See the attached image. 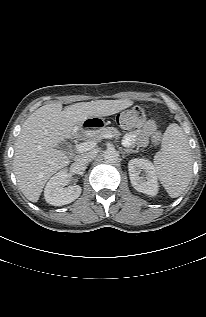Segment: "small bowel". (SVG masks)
Here are the masks:
<instances>
[{"instance_id":"small-bowel-1","label":"small bowel","mask_w":206,"mask_h":317,"mask_svg":"<svg viewBox=\"0 0 206 317\" xmlns=\"http://www.w3.org/2000/svg\"><path fill=\"white\" fill-rule=\"evenodd\" d=\"M157 125L154 120H148L137 130L127 133L124 137V143L128 147L147 145L150 136L156 131Z\"/></svg>"}]
</instances>
